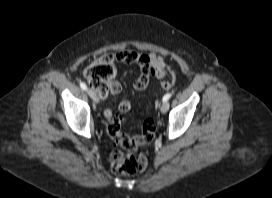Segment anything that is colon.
Instances as JSON below:
<instances>
[{
  "instance_id": "colon-1",
  "label": "colon",
  "mask_w": 272,
  "mask_h": 198,
  "mask_svg": "<svg viewBox=\"0 0 272 198\" xmlns=\"http://www.w3.org/2000/svg\"><path fill=\"white\" fill-rule=\"evenodd\" d=\"M121 57L114 54H105L96 59L85 71V78L92 89L100 95L111 94L112 83L115 73V61H120ZM152 69L142 74L135 81V86L138 89H143L147 86L149 75ZM164 90H169L171 84L167 81L161 83ZM124 118L121 115H116L112 118L108 125V134L122 148L127 150V153L116 149L110 155L111 169L116 174L135 175L143 171L147 165L146 155L141 151V146L153 140L156 132V125L153 119L148 118L142 125V133L139 136L131 137L121 133V126Z\"/></svg>"
}]
</instances>
